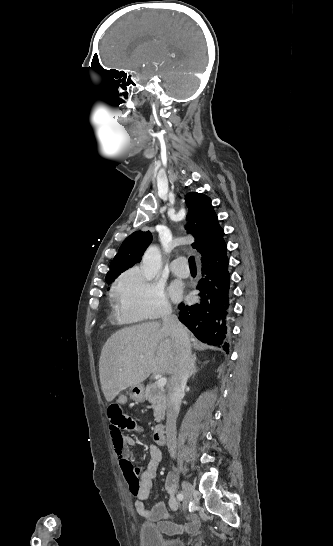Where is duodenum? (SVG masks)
Returning <instances> with one entry per match:
<instances>
[{"label":"duodenum","mask_w":333,"mask_h":546,"mask_svg":"<svg viewBox=\"0 0 333 546\" xmlns=\"http://www.w3.org/2000/svg\"><path fill=\"white\" fill-rule=\"evenodd\" d=\"M154 440L158 445L166 443V431L163 425H158L154 429Z\"/></svg>","instance_id":"obj_1"}]
</instances>
